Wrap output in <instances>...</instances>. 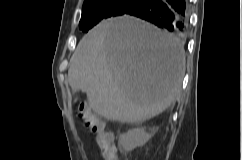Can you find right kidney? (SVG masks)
Here are the masks:
<instances>
[{
  "instance_id": "1",
  "label": "right kidney",
  "mask_w": 242,
  "mask_h": 160,
  "mask_svg": "<svg viewBox=\"0 0 242 160\" xmlns=\"http://www.w3.org/2000/svg\"><path fill=\"white\" fill-rule=\"evenodd\" d=\"M150 138L151 134L144 128H136L120 135L119 144L125 150L131 151L138 146H143Z\"/></svg>"
}]
</instances>
